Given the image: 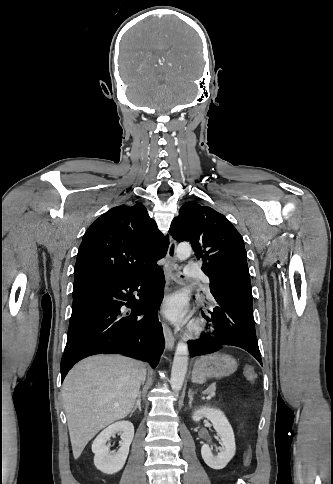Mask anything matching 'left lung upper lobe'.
<instances>
[{
  "instance_id": "left-lung-upper-lobe-1",
  "label": "left lung upper lobe",
  "mask_w": 333,
  "mask_h": 484,
  "mask_svg": "<svg viewBox=\"0 0 333 484\" xmlns=\"http://www.w3.org/2000/svg\"><path fill=\"white\" fill-rule=\"evenodd\" d=\"M169 232L178 242L192 244L197 259L204 261L202 270L206 274L214 262L225 255L240 254L247 261L240 233L224 215L210 207L195 202L184 204Z\"/></svg>"
}]
</instances>
